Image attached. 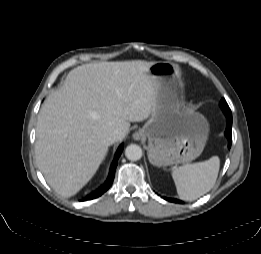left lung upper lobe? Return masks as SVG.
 Segmentation results:
<instances>
[{
	"label": "left lung upper lobe",
	"mask_w": 261,
	"mask_h": 254,
	"mask_svg": "<svg viewBox=\"0 0 261 254\" xmlns=\"http://www.w3.org/2000/svg\"><path fill=\"white\" fill-rule=\"evenodd\" d=\"M220 107L224 112L231 113L230 108L224 98H222L220 101Z\"/></svg>",
	"instance_id": "5c2ea615"
}]
</instances>
